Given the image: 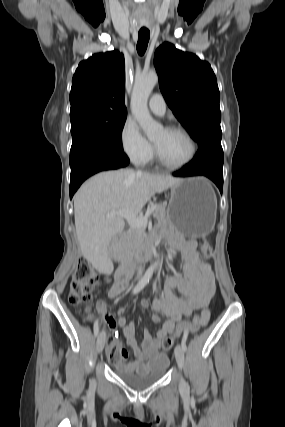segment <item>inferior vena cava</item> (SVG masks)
<instances>
[{
  "mask_svg": "<svg viewBox=\"0 0 285 427\" xmlns=\"http://www.w3.org/2000/svg\"><path fill=\"white\" fill-rule=\"evenodd\" d=\"M141 272H142V268L140 267L139 270H138V273H141Z\"/></svg>",
  "mask_w": 285,
  "mask_h": 427,
  "instance_id": "inferior-vena-cava-1",
  "label": "inferior vena cava"
}]
</instances>
